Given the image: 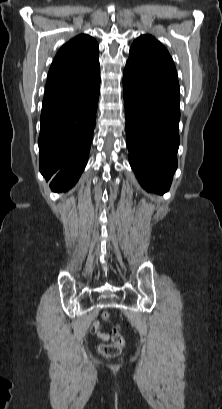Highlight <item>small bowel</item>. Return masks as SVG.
I'll return each mask as SVG.
<instances>
[{
  "label": "small bowel",
  "instance_id": "1",
  "mask_svg": "<svg viewBox=\"0 0 222 409\" xmlns=\"http://www.w3.org/2000/svg\"><path fill=\"white\" fill-rule=\"evenodd\" d=\"M92 329L95 332L97 338L101 341H108L110 336L109 334L102 331V325L100 322L96 321L92 324Z\"/></svg>",
  "mask_w": 222,
  "mask_h": 409
}]
</instances>
